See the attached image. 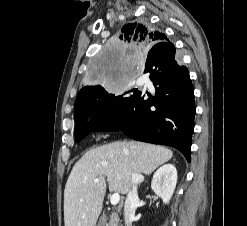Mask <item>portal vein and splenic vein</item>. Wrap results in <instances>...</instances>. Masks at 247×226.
<instances>
[{"label":"portal vein and splenic vein","instance_id":"1","mask_svg":"<svg viewBox=\"0 0 247 226\" xmlns=\"http://www.w3.org/2000/svg\"><path fill=\"white\" fill-rule=\"evenodd\" d=\"M94 182L97 183V182H99V180L98 179H95ZM119 201H120V195H119V193H113L112 196H111V198H110L111 204L112 205H117L119 203Z\"/></svg>","mask_w":247,"mask_h":226}]
</instances>
